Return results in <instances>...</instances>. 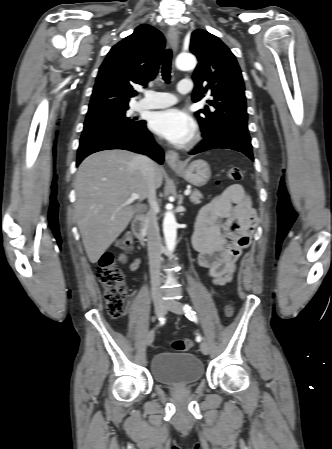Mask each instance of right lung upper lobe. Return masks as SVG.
I'll return each mask as SVG.
<instances>
[{"label": "right lung upper lobe", "mask_w": 332, "mask_h": 449, "mask_svg": "<svg viewBox=\"0 0 332 449\" xmlns=\"http://www.w3.org/2000/svg\"><path fill=\"white\" fill-rule=\"evenodd\" d=\"M165 48L160 31L143 24L112 47L99 68L88 112L128 107L134 85L147 86L159 69Z\"/></svg>", "instance_id": "cb5924a9"}]
</instances>
